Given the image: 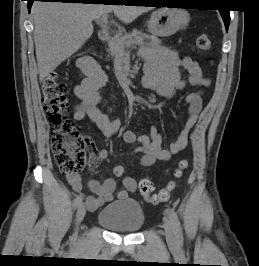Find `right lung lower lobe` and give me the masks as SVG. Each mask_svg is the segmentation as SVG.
Masks as SVG:
<instances>
[{"label":"right lung lower lobe","mask_w":259,"mask_h":266,"mask_svg":"<svg viewBox=\"0 0 259 266\" xmlns=\"http://www.w3.org/2000/svg\"><path fill=\"white\" fill-rule=\"evenodd\" d=\"M28 1V11L30 12L31 6L34 1H42V2H62V3H68V2H79V3H94V4H99V3H119V2H108L109 0H27ZM110 1H115V0H110Z\"/></svg>","instance_id":"98d812e1"}]
</instances>
